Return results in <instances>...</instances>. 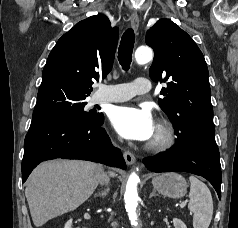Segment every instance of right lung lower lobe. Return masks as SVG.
<instances>
[{"label":"right lung lower lobe","mask_w":238,"mask_h":228,"mask_svg":"<svg viewBox=\"0 0 238 228\" xmlns=\"http://www.w3.org/2000/svg\"><path fill=\"white\" fill-rule=\"evenodd\" d=\"M104 116L92 123L66 118L32 119L24 142L22 182L41 162L54 159H82L126 168L118 148L111 145Z\"/></svg>","instance_id":"obj_1"}]
</instances>
